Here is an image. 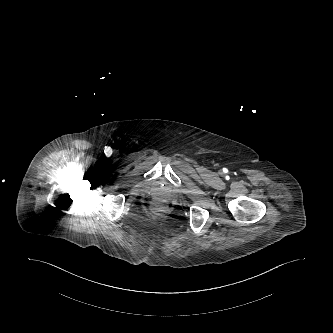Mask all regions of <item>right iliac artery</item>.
I'll use <instances>...</instances> for the list:
<instances>
[{
    "mask_svg": "<svg viewBox=\"0 0 333 333\" xmlns=\"http://www.w3.org/2000/svg\"><path fill=\"white\" fill-rule=\"evenodd\" d=\"M104 153L106 154V155H110L111 153H112V149L110 148V147H105V149H104Z\"/></svg>",
    "mask_w": 333,
    "mask_h": 333,
    "instance_id": "right-iliac-artery-1",
    "label": "right iliac artery"
}]
</instances>
